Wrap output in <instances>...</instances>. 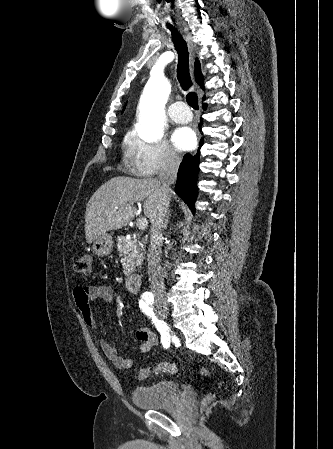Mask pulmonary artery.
<instances>
[{
  "label": "pulmonary artery",
  "instance_id": "e3ab8cb5",
  "mask_svg": "<svg viewBox=\"0 0 333 449\" xmlns=\"http://www.w3.org/2000/svg\"><path fill=\"white\" fill-rule=\"evenodd\" d=\"M169 117L178 123L189 122L192 119L191 111L184 102H175L168 107Z\"/></svg>",
  "mask_w": 333,
  "mask_h": 449
}]
</instances>
